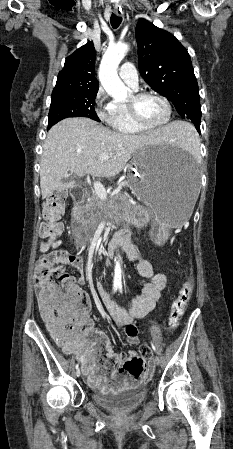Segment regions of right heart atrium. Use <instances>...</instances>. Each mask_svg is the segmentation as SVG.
I'll use <instances>...</instances> for the list:
<instances>
[{
    "instance_id": "1",
    "label": "right heart atrium",
    "mask_w": 233,
    "mask_h": 449,
    "mask_svg": "<svg viewBox=\"0 0 233 449\" xmlns=\"http://www.w3.org/2000/svg\"><path fill=\"white\" fill-rule=\"evenodd\" d=\"M97 115L101 120H108L113 111L114 102L107 101V93L103 87H99L94 98Z\"/></svg>"
}]
</instances>
